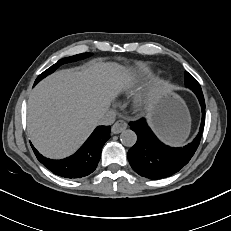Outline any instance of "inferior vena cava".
Instances as JSON below:
<instances>
[{"label":"inferior vena cava","instance_id":"obj_1","mask_svg":"<svg viewBox=\"0 0 231 231\" xmlns=\"http://www.w3.org/2000/svg\"><path fill=\"white\" fill-rule=\"evenodd\" d=\"M116 118V113L113 110H108L102 114L98 119L99 125H111L114 123Z\"/></svg>","mask_w":231,"mask_h":231}]
</instances>
